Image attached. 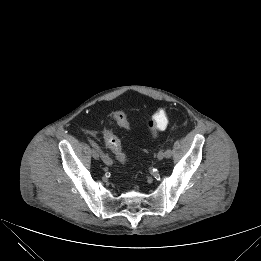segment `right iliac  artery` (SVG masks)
<instances>
[{"label":"right iliac artery","mask_w":261,"mask_h":261,"mask_svg":"<svg viewBox=\"0 0 261 261\" xmlns=\"http://www.w3.org/2000/svg\"><path fill=\"white\" fill-rule=\"evenodd\" d=\"M88 142L90 145L99 153L101 159L103 162L107 165H111L113 163L112 159L104 153V151L101 150V148L98 146L96 142H94L92 139L88 138Z\"/></svg>","instance_id":"1"}]
</instances>
